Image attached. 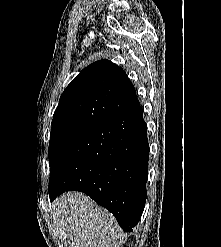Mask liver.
I'll list each match as a JSON object with an SVG mask.
<instances>
[{
	"label": "liver",
	"instance_id": "6515ba94",
	"mask_svg": "<svg viewBox=\"0 0 221 247\" xmlns=\"http://www.w3.org/2000/svg\"><path fill=\"white\" fill-rule=\"evenodd\" d=\"M51 213L77 247H120L126 240L115 218L81 192L61 195Z\"/></svg>",
	"mask_w": 221,
	"mask_h": 247
}]
</instances>
